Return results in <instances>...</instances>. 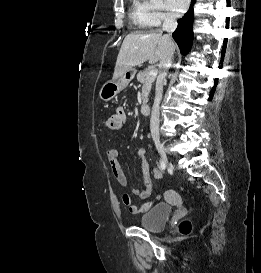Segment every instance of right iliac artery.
I'll return each instance as SVG.
<instances>
[{
	"label": "right iliac artery",
	"instance_id": "82829eb1",
	"mask_svg": "<svg viewBox=\"0 0 261 273\" xmlns=\"http://www.w3.org/2000/svg\"><path fill=\"white\" fill-rule=\"evenodd\" d=\"M159 167L161 170H164L165 169V163L163 161L160 160V163H159Z\"/></svg>",
	"mask_w": 261,
	"mask_h": 273
}]
</instances>
